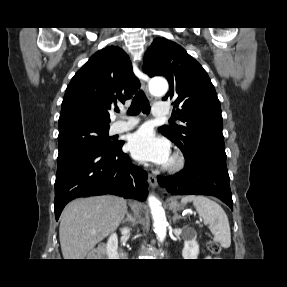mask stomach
Listing matches in <instances>:
<instances>
[{"instance_id":"stomach-1","label":"stomach","mask_w":287,"mask_h":287,"mask_svg":"<svg viewBox=\"0 0 287 287\" xmlns=\"http://www.w3.org/2000/svg\"><path fill=\"white\" fill-rule=\"evenodd\" d=\"M169 206L173 210H178L180 208V205L176 201H172Z\"/></svg>"}]
</instances>
